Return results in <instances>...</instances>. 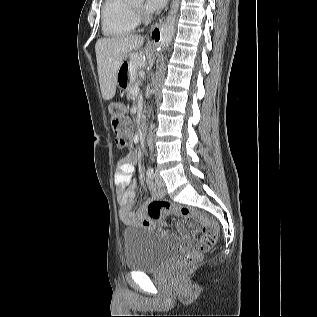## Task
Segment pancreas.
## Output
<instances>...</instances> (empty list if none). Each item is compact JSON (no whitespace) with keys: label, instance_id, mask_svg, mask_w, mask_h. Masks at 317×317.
I'll return each instance as SVG.
<instances>
[{"label":"pancreas","instance_id":"pancreas-1","mask_svg":"<svg viewBox=\"0 0 317 317\" xmlns=\"http://www.w3.org/2000/svg\"><path fill=\"white\" fill-rule=\"evenodd\" d=\"M139 88H140V81L136 80V76H134L133 79L130 81L129 86L126 88L127 97H132L135 89H139Z\"/></svg>","mask_w":317,"mask_h":317}]
</instances>
